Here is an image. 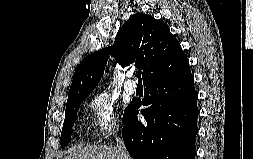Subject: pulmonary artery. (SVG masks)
<instances>
[{"label": "pulmonary artery", "instance_id": "pulmonary-artery-1", "mask_svg": "<svg viewBox=\"0 0 253 159\" xmlns=\"http://www.w3.org/2000/svg\"><path fill=\"white\" fill-rule=\"evenodd\" d=\"M126 75H127L128 80L125 82V85H124L125 91L129 94H134L137 91V85L132 80V78L134 77V73L129 71L127 72Z\"/></svg>", "mask_w": 253, "mask_h": 159}]
</instances>
